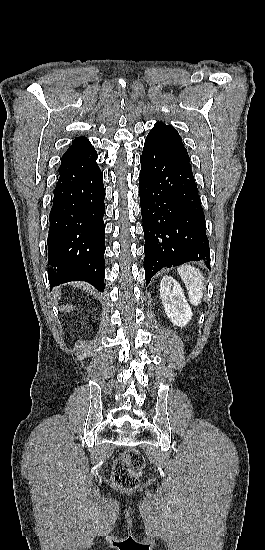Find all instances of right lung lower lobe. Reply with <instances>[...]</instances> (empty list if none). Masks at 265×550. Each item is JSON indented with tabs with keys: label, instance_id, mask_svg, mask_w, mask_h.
Instances as JSON below:
<instances>
[{
	"label": "right lung lower lobe",
	"instance_id": "1",
	"mask_svg": "<svg viewBox=\"0 0 265 550\" xmlns=\"http://www.w3.org/2000/svg\"><path fill=\"white\" fill-rule=\"evenodd\" d=\"M94 148L64 156L48 234L50 287L86 281L104 291L105 189Z\"/></svg>",
	"mask_w": 265,
	"mask_h": 550
}]
</instances>
